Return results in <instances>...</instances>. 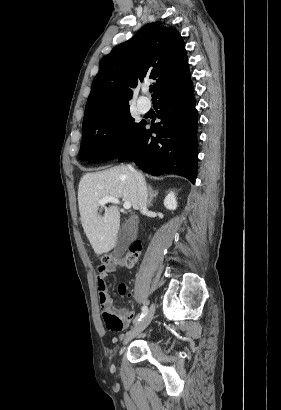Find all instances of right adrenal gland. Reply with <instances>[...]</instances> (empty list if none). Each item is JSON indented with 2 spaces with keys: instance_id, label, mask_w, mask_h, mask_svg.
<instances>
[{
  "instance_id": "2a0ac1e0",
  "label": "right adrenal gland",
  "mask_w": 281,
  "mask_h": 410,
  "mask_svg": "<svg viewBox=\"0 0 281 410\" xmlns=\"http://www.w3.org/2000/svg\"><path fill=\"white\" fill-rule=\"evenodd\" d=\"M148 192H149L148 206H151L153 198L158 195V191L153 190L151 185H149Z\"/></svg>"
}]
</instances>
